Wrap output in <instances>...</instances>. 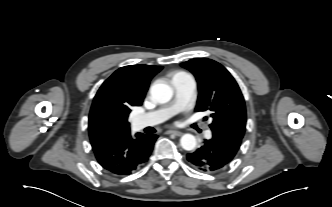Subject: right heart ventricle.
<instances>
[{
	"label": "right heart ventricle",
	"mask_w": 332,
	"mask_h": 207,
	"mask_svg": "<svg viewBox=\"0 0 332 207\" xmlns=\"http://www.w3.org/2000/svg\"><path fill=\"white\" fill-rule=\"evenodd\" d=\"M186 76H189V75L186 72H183V71H179V72L174 73L173 76H172V85H173V82L176 79L186 77Z\"/></svg>",
	"instance_id": "e07e8e85"
}]
</instances>
